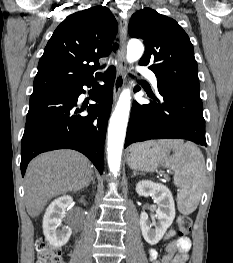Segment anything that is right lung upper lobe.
Segmentation results:
<instances>
[{
  "label": "right lung upper lobe",
  "mask_w": 233,
  "mask_h": 263,
  "mask_svg": "<svg viewBox=\"0 0 233 263\" xmlns=\"http://www.w3.org/2000/svg\"><path fill=\"white\" fill-rule=\"evenodd\" d=\"M116 31V19L101 5L68 16L44 49L32 95L94 80L99 59L110 54Z\"/></svg>",
  "instance_id": "1"
}]
</instances>
